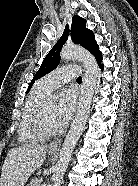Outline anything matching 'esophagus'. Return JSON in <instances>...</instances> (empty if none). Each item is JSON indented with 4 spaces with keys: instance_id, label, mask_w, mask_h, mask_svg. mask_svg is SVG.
Wrapping results in <instances>:
<instances>
[{
    "instance_id": "esophagus-1",
    "label": "esophagus",
    "mask_w": 138,
    "mask_h": 186,
    "mask_svg": "<svg viewBox=\"0 0 138 186\" xmlns=\"http://www.w3.org/2000/svg\"><path fill=\"white\" fill-rule=\"evenodd\" d=\"M62 139H56L54 142L50 144L51 149H58L61 145Z\"/></svg>"
}]
</instances>
